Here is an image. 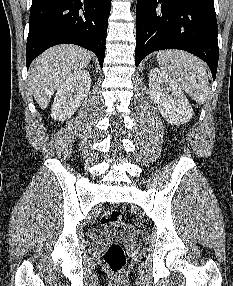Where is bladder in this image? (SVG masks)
<instances>
[{
	"instance_id": "obj_1",
	"label": "bladder",
	"mask_w": 233,
	"mask_h": 286,
	"mask_svg": "<svg viewBox=\"0 0 233 286\" xmlns=\"http://www.w3.org/2000/svg\"><path fill=\"white\" fill-rule=\"evenodd\" d=\"M111 229H116L115 225H108L106 227H103L101 229V231L103 233H105V232H107L108 230H111ZM119 230L127 232L130 237H134L135 236L133 231L131 229H129V228H119Z\"/></svg>"
}]
</instances>
